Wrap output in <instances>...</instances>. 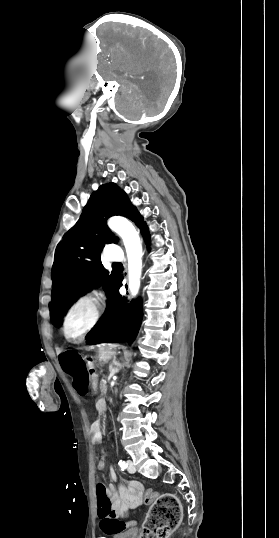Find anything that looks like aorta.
<instances>
[{"label": "aorta", "mask_w": 279, "mask_h": 538, "mask_svg": "<svg viewBox=\"0 0 279 538\" xmlns=\"http://www.w3.org/2000/svg\"><path fill=\"white\" fill-rule=\"evenodd\" d=\"M109 228L122 238L127 259L129 289L135 297L139 291L142 271V245L138 232L133 224L123 217H112L108 221Z\"/></svg>", "instance_id": "1"}]
</instances>
